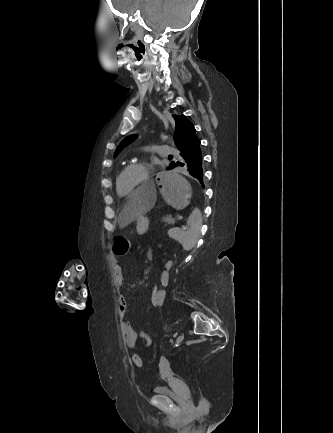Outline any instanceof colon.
I'll use <instances>...</instances> for the list:
<instances>
[{
	"mask_svg": "<svg viewBox=\"0 0 333 433\" xmlns=\"http://www.w3.org/2000/svg\"><path fill=\"white\" fill-rule=\"evenodd\" d=\"M131 244V237L130 236H115L114 240H112L111 246L113 249V255L115 258H122L124 253L128 252V247ZM165 270L171 271L173 262L170 259H167L164 262ZM154 289L151 291L150 294V303L152 304L153 308L159 309L162 306V303L159 299L160 294L157 292V286L155 285L153 287ZM132 363L136 367L142 366V359L138 354H134L132 356Z\"/></svg>",
	"mask_w": 333,
	"mask_h": 433,
	"instance_id": "1",
	"label": "colon"
}]
</instances>
